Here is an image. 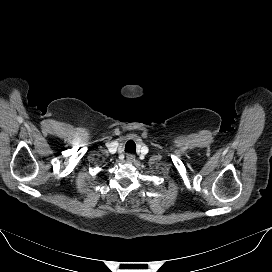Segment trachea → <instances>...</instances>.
Returning a JSON list of instances; mask_svg holds the SVG:
<instances>
[{"label": "trachea", "mask_w": 272, "mask_h": 272, "mask_svg": "<svg viewBox=\"0 0 272 272\" xmlns=\"http://www.w3.org/2000/svg\"><path fill=\"white\" fill-rule=\"evenodd\" d=\"M125 152L135 153L136 152V144L133 140L127 141L125 145Z\"/></svg>", "instance_id": "3493384b"}]
</instances>
